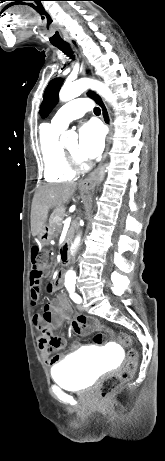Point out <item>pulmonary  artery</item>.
Segmentation results:
<instances>
[{
  "instance_id": "1",
  "label": "pulmonary artery",
  "mask_w": 165,
  "mask_h": 461,
  "mask_svg": "<svg viewBox=\"0 0 165 461\" xmlns=\"http://www.w3.org/2000/svg\"><path fill=\"white\" fill-rule=\"evenodd\" d=\"M92 108V103L86 98L72 100L62 106L51 120V124L60 129L65 128L69 122L80 118Z\"/></svg>"
}]
</instances>
